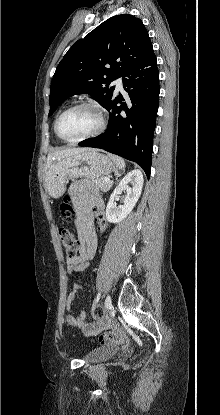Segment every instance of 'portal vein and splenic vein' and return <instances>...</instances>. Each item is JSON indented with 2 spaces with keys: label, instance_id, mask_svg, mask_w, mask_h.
Listing matches in <instances>:
<instances>
[{
  "label": "portal vein and splenic vein",
  "instance_id": "1",
  "mask_svg": "<svg viewBox=\"0 0 220 415\" xmlns=\"http://www.w3.org/2000/svg\"><path fill=\"white\" fill-rule=\"evenodd\" d=\"M104 180L107 181V182H109L110 181V178L109 177H105Z\"/></svg>",
  "mask_w": 220,
  "mask_h": 415
}]
</instances>
